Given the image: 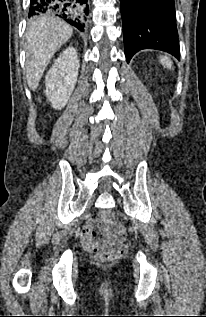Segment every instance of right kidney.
<instances>
[{
    "instance_id": "ca27d5eb",
    "label": "right kidney",
    "mask_w": 206,
    "mask_h": 317,
    "mask_svg": "<svg viewBox=\"0 0 206 317\" xmlns=\"http://www.w3.org/2000/svg\"><path fill=\"white\" fill-rule=\"evenodd\" d=\"M79 67L75 48L68 47L48 71L45 95L55 109H62L69 100L77 82Z\"/></svg>"
}]
</instances>
